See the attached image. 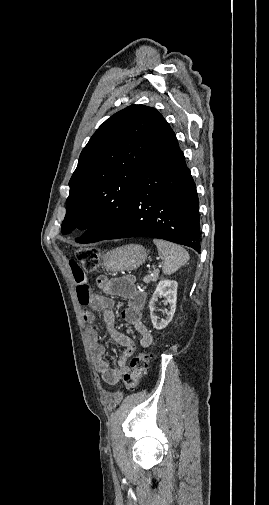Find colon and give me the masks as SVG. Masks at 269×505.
<instances>
[{"mask_svg": "<svg viewBox=\"0 0 269 505\" xmlns=\"http://www.w3.org/2000/svg\"><path fill=\"white\" fill-rule=\"evenodd\" d=\"M76 260L85 274L99 271V251L96 248H80L76 251ZM149 354L140 352L134 356L130 369L123 374L124 386L128 391L135 390L148 369Z\"/></svg>", "mask_w": 269, "mask_h": 505, "instance_id": "colon-1", "label": "colon"}]
</instances>
